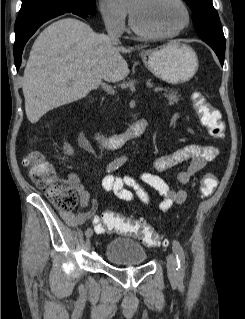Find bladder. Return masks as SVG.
<instances>
[{
    "instance_id": "1",
    "label": "bladder",
    "mask_w": 245,
    "mask_h": 319,
    "mask_svg": "<svg viewBox=\"0 0 245 319\" xmlns=\"http://www.w3.org/2000/svg\"><path fill=\"white\" fill-rule=\"evenodd\" d=\"M104 256L109 262L130 266L144 263L147 252L137 240L117 237L107 243Z\"/></svg>"
}]
</instances>
